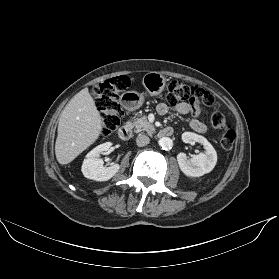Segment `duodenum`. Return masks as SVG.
Instances as JSON below:
<instances>
[{
  "label": "duodenum",
  "mask_w": 279,
  "mask_h": 279,
  "mask_svg": "<svg viewBox=\"0 0 279 279\" xmlns=\"http://www.w3.org/2000/svg\"><path fill=\"white\" fill-rule=\"evenodd\" d=\"M117 134L121 140L127 141L131 138L132 131L129 125H123L118 129ZM172 135H173V129L171 127H164L158 133V136L160 138L170 137Z\"/></svg>",
  "instance_id": "duodenum-1"
}]
</instances>
